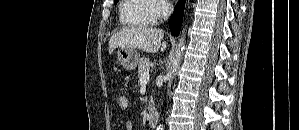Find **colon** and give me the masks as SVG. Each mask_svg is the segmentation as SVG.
Instances as JSON below:
<instances>
[{
  "label": "colon",
  "mask_w": 299,
  "mask_h": 130,
  "mask_svg": "<svg viewBox=\"0 0 299 130\" xmlns=\"http://www.w3.org/2000/svg\"><path fill=\"white\" fill-rule=\"evenodd\" d=\"M117 103L119 108L126 109L129 105V100L126 95H120L117 99Z\"/></svg>",
  "instance_id": "1"
}]
</instances>
